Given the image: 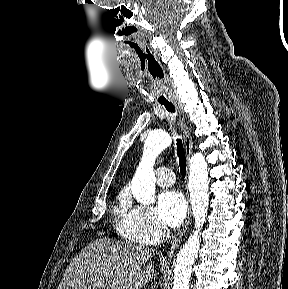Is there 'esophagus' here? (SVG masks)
<instances>
[{
	"label": "esophagus",
	"mask_w": 288,
	"mask_h": 289,
	"mask_svg": "<svg viewBox=\"0 0 288 289\" xmlns=\"http://www.w3.org/2000/svg\"><path fill=\"white\" fill-rule=\"evenodd\" d=\"M175 105L178 109L180 116H182L183 110H182L181 105L179 103H176V102H175ZM180 125H181L182 130H183L184 144H185V150H186V155H187V174H188L190 158L192 155L193 141H192L190 131L188 129V126L185 123L184 118L181 119ZM190 217H191V210H190V206L188 205V213H187L186 220H185L182 228L177 232V234L174 236V238L171 242V247H170V250L168 252L169 256H172L174 254V252L177 250V248L179 247V244L182 241V239H183V237H184V235L188 229V226L190 223Z\"/></svg>",
	"instance_id": "esophagus-1"
}]
</instances>
